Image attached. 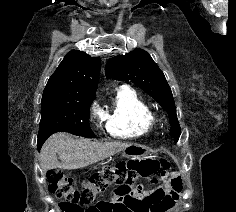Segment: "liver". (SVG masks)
Wrapping results in <instances>:
<instances>
[{
	"instance_id": "obj_1",
	"label": "liver",
	"mask_w": 236,
	"mask_h": 212,
	"mask_svg": "<svg viewBox=\"0 0 236 212\" xmlns=\"http://www.w3.org/2000/svg\"><path fill=\"white\" fill-rule=\"evenodd\" d=\"M129 145L122 142L98 143L88 139H74L63 132L56 133L43 144L40 165L44 171L55 168L79 169L108 158Z\"/></svg>"
}]
</instances>
